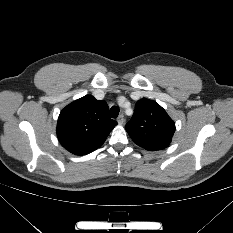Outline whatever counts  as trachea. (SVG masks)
<instances>
[{
	"label": "trachea",
	"instance_id": "obj_1",
	"mask_svg": "<svg viewBox=\"0 0 233 233\" xmlns=\"http://www.w3.org/2000/svg\"><path fill=\"white\" fill-rule=\"evenodd\" d=\"M118 115H119V108L117 106H112L110 109V116L112 118H117Z\"/></svg>",
	"mask_w": 233,
	"mask_h": 233
}]
</instances>
